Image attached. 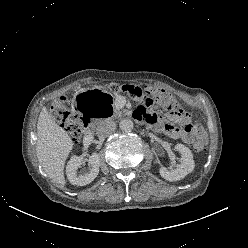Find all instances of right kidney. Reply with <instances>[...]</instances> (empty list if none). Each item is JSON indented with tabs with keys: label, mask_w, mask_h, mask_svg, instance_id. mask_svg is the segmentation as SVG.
<instances>
[{
	"label": "right kidney",
	"mask_w": 248,
	"mask_h": 248,
	"mask_svg": "<svg viewBox=\"0 0 248 248\" xmlns=\"http://www.w3.org/2000/svg\"><path fill=\"white\" fill-rule=\"evenodd\" d=\"M82 156H72L66 166V174L72 185L84 186L91 183L99 173L100 159L99 155L93 153L88 158L89 171L78 173V168L82 164Z\"/></svg>",
	"instance_id": "obj_1"
}]
</instances>
